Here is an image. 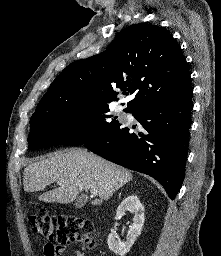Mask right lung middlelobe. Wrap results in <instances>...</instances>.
Here are the masks:
<instances>
[{
  "label": "right lung middle lobe",
  "instance_id": "right-lung-middle-lobe-1",
  "mask_svg": "<svg viewBox=\"0 0 221 256\" xmlns=\"http://www.w3.org/2000/svg\"><path fill=\"white\" fill-rule=\"evenodd\" d=\"M119 122L118 117L109 115L108 103H82L35 113L30 119L28 148L83 145Z\"/></svg>",
  "mask_w": 221,
  "mask_h": 256
}]
</instances>
